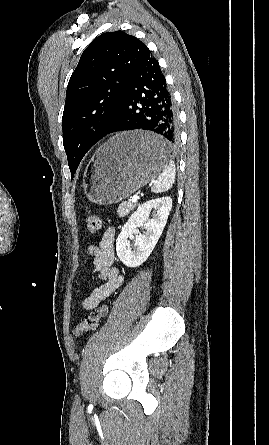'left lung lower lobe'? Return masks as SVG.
<instances>
[{"instance_id":"1","label":"left lung lower lobe","mask_w":269,"mask_h":445,"mask_svg":"<svg viewBox=\"0 0 269 445\" xmlns=\"http://www.w3.org/2000/svg\"><path fill=\"white\" fill-rule=\"evenodd\" d=\"M142 129L157 133L171 147L178 141V115L158 61L147 48L133 71L107 134ZM102 137V138H103Z\"/></svg>"}]
</instances>
